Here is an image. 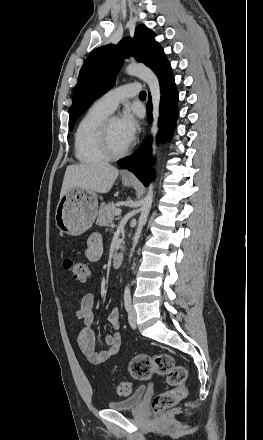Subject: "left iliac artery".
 <instances>
[{
    "instance_id": "1",
    "label": "left iliac artery",
    "mask_w": 263,
    "mask_h": 440,
    "mask_svg": "<svg viewBox=\"0 0 263 440\" xmlns=\"http://www.w3.org/2000/svg\"><path fill=\"white\" fill-rule=\"evenodd\" d=\"M124 306L126 311H129L131 307V293L129 288H126L124 291Z\"/></svg>"
}]
</instances>
